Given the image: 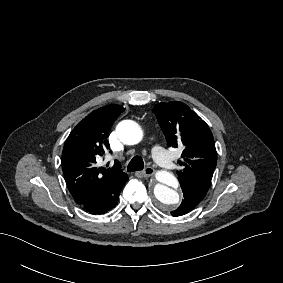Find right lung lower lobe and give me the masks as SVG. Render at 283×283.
I'll use <instances>...</instances> for the list:
<instances>
[{
	"mask_svg": "<svg viewBox=\"0 0 283 283\" xmlns=\"http://www.w3.org/2000/svg\"><path fill=\"white\" fill-rule=\"evenodd\" d=\"M128 177L113 184L109 189L101 193V195L93 196L77 203L84 211L93 214L101 215L113 209L119 200V194L127 182Z\"/></svg>",
	"mask_w": 283,
	"mask_h": 283,
	"instance_id": "98d812e1",
	"label": "right lung lower lobe"
}]
</instances>
